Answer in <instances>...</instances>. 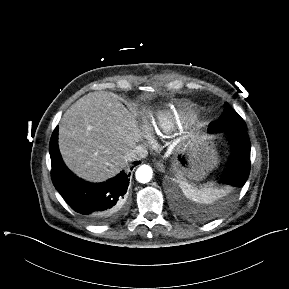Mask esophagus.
I'll use <instances>...</instances> for the list:
<instances>
[{
    "instance_id": "34e87169",
    "label": "esophagus",
    "mask_w": 289,
    "mask_h": 289,
    "mask_svg": "<svg viewBox=\"0 0 289 289\" xmlns=\"http://www.w3.org/2000/svg\"><path fill=\"white\" fill-rule=\"evenodd\" d=\"M155 167H156L157 170H159L160 172H164V171H165V166H164L163 163L160 162V161H156V162H155Z\"/></svg>"
}]
</instances>
